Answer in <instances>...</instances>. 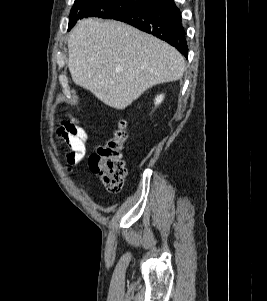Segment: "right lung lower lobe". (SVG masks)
<instances>
[{
	"mask_svg": "<svg viewBox=\"0 0 267 301\" xmlns=\"http://www.w3.org/2000/svg\"><path fill=\"white\" fill-rule=\"evenodd\" d=\"M113 19L128 23L174 46L188 56L186 33L180 10L173 0H160Z\"/></svg>",
	"mask_w": 267,
	"mask_h": 301,
	"instance_id": "obj_1",
	"label": "right lung lower lobe"
}]
</instances>
